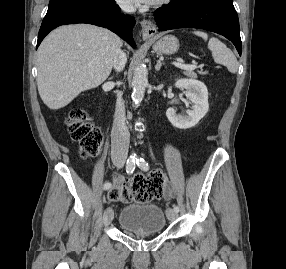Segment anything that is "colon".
I'll return each instance as SVG.
<instances>
[{"instance_id":"5ec220e1","label":"colon","mask_w":286,"mask_h":269,"mask_svg":"<svg viewBox=\"0 0 286 269\" xmlns=\"http://www.w3.org/2000/svg\"><path fill=\"white\" fill-rule=\"evenodd\" d=\"M66 126L71 138L79 144L82 157L90 158L97 153L102 133L87 120L85 107L72 110L66 119ZM164 184L165 175L161 172H153L148 176L136 174L127 180L117 177L107 197L112 202H148L161 197Z\"/></svg>"}]
</instances>
